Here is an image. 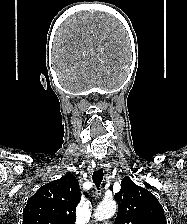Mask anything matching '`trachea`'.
<instances>
[{
    "instance_id": "obj_1",
    "label": "trachea",
    "mask_w": 187,
    "mask_h": 224,
    "mask_svg": "<svg viewBox=\"0 0 187 224\" xmlns=\"http://www.w3.org/2000/svg\"><path fill=\"white\" fill-rule=\"evenodd\" d=\"M103 176H104L103 169H99L93 172L92 179L98 190L100 189Z\"/></svg>"
}]
</instances>
